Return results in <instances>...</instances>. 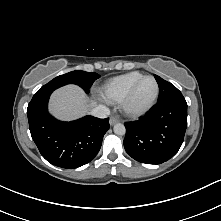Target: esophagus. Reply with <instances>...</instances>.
<instances>
[{"mask_svg": "<svg viewBox=\"0 0 221 221\" xmlns=\"http://www.w3.org/2000/svg\"><path fill=\"white\" fill-rule=\"evenodd\" d=\"M118 121H119V119L117 117L112 116V117H110L109 123L112 126V125L116 124Z\"/></svg>", "mask_w": 221, "mask_h": 221, "instance_id": "esophagus-1", "label": "esophagus"}]
</instances>
